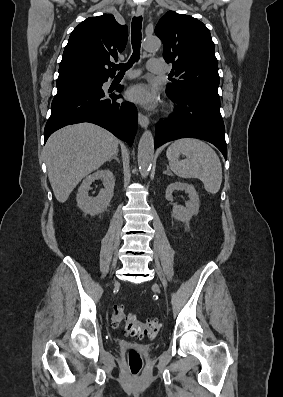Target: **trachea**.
Wrapping results in <instances>:
<instances>
[{
	"instance_id": "3493384b",
	"label": "trachea",
	"mask_w": 283,
	"mask_h": 397,
	"mask_svg": "<svg viewBox=\"0 0 283 397\" xmlns=\"http://www.w3.org/2000/svg\"><path fill=\"white\" fill-rule=\"evenodd\" d=\"M141 28L142 16L133 17L131 24V43L133 54L127 63L113 66L114 69L119 70L118 75H124L125 71L130 69L132 65L140 59Z\"/></svg>"
}]
</instances>
